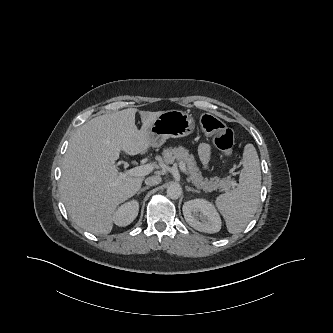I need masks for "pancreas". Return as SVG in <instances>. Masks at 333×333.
<instances>
[{
	"instance_id": "obj_1",
	"label": "pancreas",
	"mask_w": 333,
	"mask_h": 333,
	"mask_svg": "<svg viewBox=\"0 0 333 333\" xmlns=\"http://www.w3.org/2000/svg\"><path fill=\"white\" fill-rule=\"evenodd\" d=\"M163 160L167 164H172L175 160L186 165L188 181H190L198 189L207 192L212 191H228L233 184L230 177L219 178L213 177L210 179L203 178L199 168L196 165L195 158L184 147L167 148L163 150Z\"/></svg>"
}]
</instances>
